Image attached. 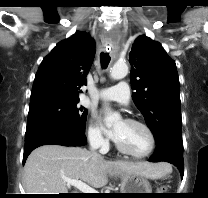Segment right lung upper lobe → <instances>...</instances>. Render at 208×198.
Wrapping results in <instances>:
<instances>
[{"label": "right lung upper lobe", "mask_w": 208, "mask_h": 198, "mask_svg": "<svg viewBox=\"0 0 208 198\" xmlns=\"http://www.w3.org/2000/svg\"><path fill=\"white\" fill-rule=\"evenodd\" d=\"M94 55L95 43L86 32L77 31L58 43L37 71L30 107L49 101L79 100Z\"/></svg>", "instance_id": "1"}]
</instances>
